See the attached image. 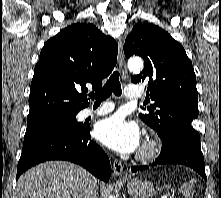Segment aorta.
<instances>
[{"mask_svg":"<svg viewBox=\"0 0 221 198\" xmlns=\"http://www.w3.org/2000/svg\"><path fill=\"white\" fill-rule=\"evenodd\" d=\"M143 67V61L139 57L131 58L128 61V68L132 72H139ZM109 198H113V196H110Z\"/></svg>","mask_w":221,"mask_h":198,"instance_id":"aorta-1","label":"aorta"}]
</instances>
